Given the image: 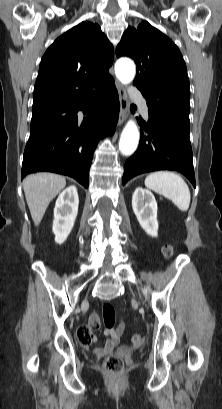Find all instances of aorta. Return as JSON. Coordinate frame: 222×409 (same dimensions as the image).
<instances>
[{"mask_svg": "<svg viewBox=\"0 0 222 409\" xmlns=\"http://www.w3.org/2000/svg\"><path fill=\"white\" fill-rule=\"evenodd\" d=\"M115 74L123 84L130 83L135 77V65L126 58L119 59L115 64ZM139 131L133 120H129L125 125L119 140V149L122 155H132L139 143Z\"/></svg>", "mask_w": 222, "mask_h": 409, "instance_id": "762f6f07", "label": "aorta"}]
</instances>
